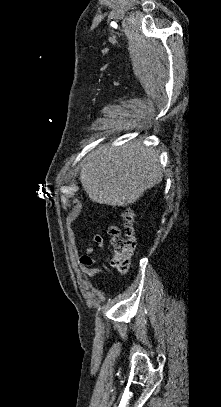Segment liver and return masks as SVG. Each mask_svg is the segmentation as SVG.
I'll return each instance as SVG.
<instances>
[{
	"instance_id": "1",
	"label": "liver",
	"mask_w": 221,
	"mask_h": 407,
	"mask_svg": "<svg viewBox=\"0 0 221 407\" xmlns=\"http://www.w3.org/2000/svg\"><path fill=\"white\" fill-rule=\"evenodd\" d=\"M162 178L159 152L139 140L100 147L81 163L80 180L90 200L113 207L134 204Z\"/></svg>"
}]
</instances>
